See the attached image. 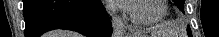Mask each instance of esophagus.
<instances>
[{"mask_svg": "<svg viewBox=\"0 0 219 37\" xmlns=\"http://www.w3.org/2000/svg\"><path fill=\"white\" fill-rule=\"evenodd\" d=\"M112 25H113L115 34L117 35L125 34V25L119 16H113Z\"/></svg>", "mask_w": 219, "mask_h": 37, "instance_id": "esophagus-1", "label": "esophagus"}]
</instances>
